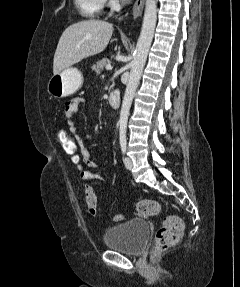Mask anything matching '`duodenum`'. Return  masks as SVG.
Instances as JSON below:
<instances>
[{
	"instance_id": "1",
	"label": "duodenum",
	"mask_w": 240,
	"mask_h": 287,
	"mask_svg": "<svg viewBox=\"0 0 240 287\" xmlns=\"http://www.w3.org/2000/svg\"><path fill=\"white\" fill-rule=\"evenodd\" d=\"M108 102L113 108L120 105V93L118 90H113L108 95Z\"/></svg>"
}]
</instances>
